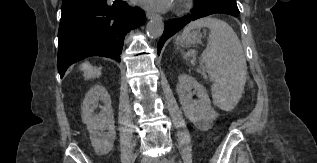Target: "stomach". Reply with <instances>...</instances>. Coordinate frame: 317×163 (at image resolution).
Returning <instances> with one entry per match:
<instances>
[{
    "instance_id": "0dacf381",
    "label": "stomach",
    "mask_w": 317,
    "mask_h": 163,
    "mask_svg": "<svg viewBox=\"0 0 317 163\" xmlns=\"http://www.w3.org/2000/svg\"><path fill=\"white\" fill-rule=\"evenodd\" d=\"M202 34L200 31L188 32L185 35L177 38V44L180 46L194 45L196 43H201Z\"/></svg>"
}]
</instances>
